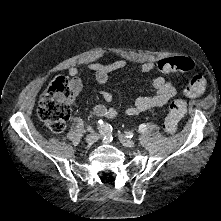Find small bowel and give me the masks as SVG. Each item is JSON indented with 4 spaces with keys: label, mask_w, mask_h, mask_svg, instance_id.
<instances>
[{
    "label": "small bowel",
    "mask_w": 221,
    "mask_h": 221,
    "mask_svg": "<svg viewBox=\"0 0 221 221\" xmlns=\"http://www.w3.org/2000/svg\"><path fill=\"white\" fill-rule=\"evenodd\" d=\"M127 61L120 59L109 64L90 63L87 68L94 73L96 81L103 85L108 81L109 75L117 70L124 68ZM156 69V64L153 61L144 62L140 68V73H148ZM68 74L71 77V84L78 93L82 88V81L79 77L80 72L76 67H70ZM153 95L139 96L135 99L133 105L126 109L128 116H135L151 108L160 107L167 104L176 94L174 85L168 81L164 76H157L151 84ZM104 103H98L93 107V113L98 117H105L112 119L117 116L118 111L115 107L108 106L113 100L110 92L102 90L100 92Z\"/></svg>",
    "instance_id": "obj_1"
}]
</instances>
